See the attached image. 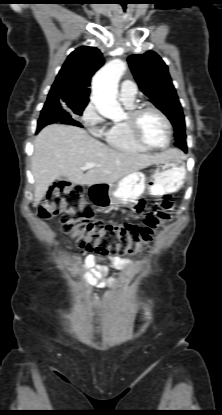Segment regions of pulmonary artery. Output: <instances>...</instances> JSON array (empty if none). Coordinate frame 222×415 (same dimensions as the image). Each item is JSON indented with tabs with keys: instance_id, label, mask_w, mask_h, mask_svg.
Masks as SVG:
<instances>
[{
	"instance_id": "e3ab8cb5",
	"label": "pulmonary artery",
	"mask_w": 222,
	"mask_h": 415,
	"mask_svg": "<svg viewBox=\"0 0 222 415\" xmlns=\"http://www.w3.org/2000/svg\"><path fill=\"white\" fill-rule=\"evenodd\" d=\"M137 93L136 85L129 80L120 84V96L122 101H133Z\"/></svg>"
}]
</instances>
